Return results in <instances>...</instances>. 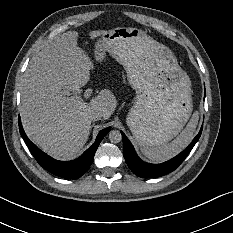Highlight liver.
Masks as SVG:
<instances>
[{
  "label": "liver",
  "instance_id": "1",
  "mask_svg": "<svg viewBox=\"0 0 233 233\" xmlns=\"http://www.w3.org/2000/svg\"><path fill=\"white\" fill-rule=\"evenodd\" d=\"M103 31H92L99 36ZM78 33L66 31L54 38L30 60L24 73L19 104L27 134L47 155L71 159L84 147L90 134V114L99 111L104 119L114 112L116 100L101 90L89 103L69 98L89 81L91 62L76 44Z\"/></svg>",
  "mask_w": 233,
  "mask_h": 233
}]
</instances>
